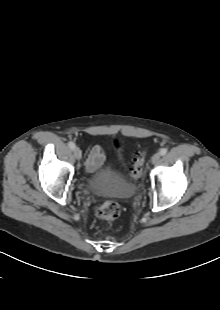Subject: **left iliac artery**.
Segmentation results:
<instances>
[{"mask_svg": "<svg viewBox=\"0 0 220 310\" xmlns=\"http://www.w3.org/2000/svg\"><path fill=\"white\" fill-rule=\"evenodd\" d=\"M166 153H167V149H166V148H162V149L160 150V154H161L162 156L166 155Z\"/></svg>", "mask_w": 220, "mask_h": 310, "instance_id": "obj_1", "label": "left iliac artery"}]
</instances>
